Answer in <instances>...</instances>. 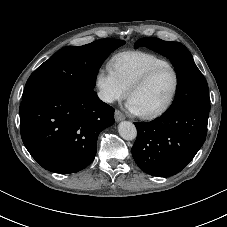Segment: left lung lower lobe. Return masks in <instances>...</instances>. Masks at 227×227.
I'll return each mask as SVG.
<instances>
[{"label":"left lung lower lobe","instance_id":"0a47b994","mask_svg":"<svg viewBox=\"0 0 227 227\" xmlns=\"http://www.w3.org/2000/svg\"><path fill=\"white\" fill-rule=\"evenodd\" d=\"M208 112L183 108L164 112L151 122L135 123L138 134L132 155L137 165L158 177L180 172L206 139Z\"/></svg>","mask_w":227,"mask_h":227}]
</instances>
